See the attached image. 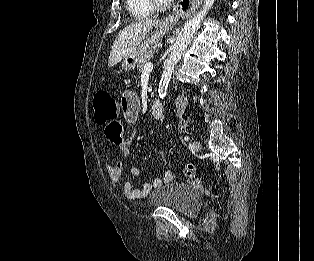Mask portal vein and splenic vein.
<instances>
[{"label":"portal vein and splenic vein","instance_id":"portal-vein-and-splenic-vein-1","mask_svg":"<svg viewBox=\"0 0 314 261\" xmlns=\"http://www.w3.org/2000/svg\"><path fill=\"white\" fill-rule=\"evenodd\" d=\"M153 69V64L151 62H147L144 66V72H150Z\"/></svg>","mask_w":314,"mask_h":261}]
</instances>
